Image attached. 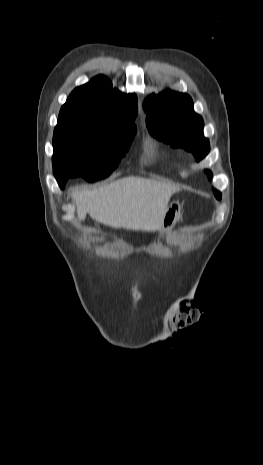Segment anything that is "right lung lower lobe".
I'll list each match as a JSON object with an SVG mask.
<instances>
[{
    "mask_svg": "<svg viewBox=\"0 0 263 465\" xmlns=\"http://www.w3.org/2000/svg\"><path fill=\"white\" fill-rule=\"evenodd\" d=\"M57 181H58L59 186L61 188H64L65 183H66L67 180H65V179H57Z\"/></svg>",
    "mask_w": 263,
    "mask_h": 465,
    "instance_id": "98d812e1",
    "label": "right lung lower lobe"
}]
</instances>
